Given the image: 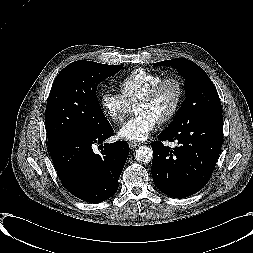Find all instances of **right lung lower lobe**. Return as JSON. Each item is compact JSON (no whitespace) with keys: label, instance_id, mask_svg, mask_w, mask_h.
<instances>
[{"label":"right lung lower lobe","instance_id":"right-lung-lower-lobe-1","mask_svg":"<svg viewBox=\"0 0 253 253\" xmlns=\"http://www.w3.org/2000/svg\"><path fill=\"white\" fill-rule=\"evenodd\" d=\"M113 134L110 124L99 129H80L50 148L51 158L64 187L75 197L91 203L103 202L118 189L129 145L126 141L100 145Z\"/></svg>","mask_w":253,"mask_h":253}]
</instances>
